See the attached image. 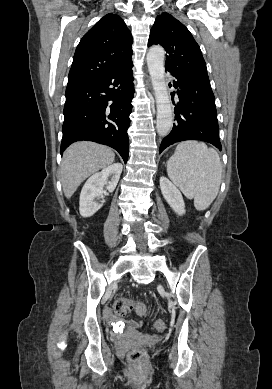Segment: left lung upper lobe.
Segmentation results:
<instances>
[{
    "label": "left lung upper lobe",
    "instance_id": "5c2ea615",
    "mask_svg": "<svg viewBox=\"0 0 272 389\" xmlns=\"http://www.w3.org/2000/svg\"><path fill=\"white\" fill-rule=\"evenodd\" d=\"M160 44L167 52L165 69L174 75L207 74L199 45L189 30L168 13L158 16L148 46Z\"/></svg>",
    "mask_w": 272,
    "mask_h": 389
}]
</instances>
